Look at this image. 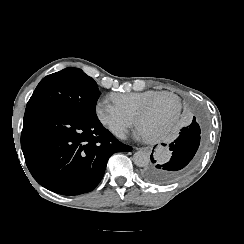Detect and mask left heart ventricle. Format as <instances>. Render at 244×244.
I'll return each mask as SVG.
<instances>
[{
    "instance_id": "1",
    "label": "left heart ventricle",
    "mask_w": 244,
    "mask_h": 244,
    "mask_svg": "<svg viewBox=\"0 0 244 244\" xmlns=\"http://www.w3.org/2000/svg\"><path fill=\"white\" fill-rule=\"evenodd\" d=\"M178 101L171 96H163L152 104L145 113L144 123L147 129L159 131L162 123L177 110Z\"/></svg>"
}]
</instances>
